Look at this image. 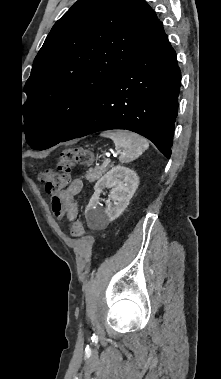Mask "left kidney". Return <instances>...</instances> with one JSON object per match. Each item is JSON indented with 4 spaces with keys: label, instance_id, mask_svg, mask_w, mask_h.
I'll return each instance as SVG.
<instances>
[{
    "label": "left kidney",
    "instance_id": "left-kidney-1",
    "mask_svg": "<svg viewBox=\"0 0 221 379\" xmlns=\"http://www.w3.org/2000/svg\"><path fill=\"white\" fill-rule=\"evenodd\" d=\"M139 185V177L132 169L115 166L94 186V194L85 209L87 224L91 228L105 227L126 209ZM105 187L112 188L106 207H99V197ZM113 201V204L111 203Z\"/></svg>",
    "mask_w": 221,
    "mask_h": 379
}]
</instances>
